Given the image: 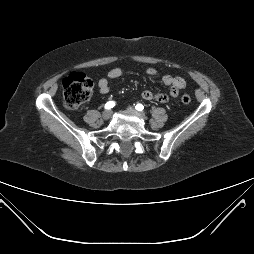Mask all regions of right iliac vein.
I'll return each mask as SVG.
<instances>
[{"label": "right iliac vein", "instance_id": "1", "mask_svg": "<svg viewBox=\"0 0 254 254\" xmlns=\"http://www.w3.org/2000/svg\"><path fill=\"white\" fill-rule=\"evenodd\" d=\"M112 112L110 110H105L102 114L104 120H108L111 117Z\"/></svg>", "mask_w": 254, "mask_h": 254}]
</instances>
